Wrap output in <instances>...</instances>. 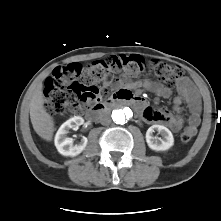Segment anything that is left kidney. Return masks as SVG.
<instances>
[{
  "mask_svg": "<svg viewBox=\"0 0 221 221\" xmlns=\"http://www.w3.org/2000/svg\"><path fill=\"white\" fill-rule=\"evenodd\" d=\"M158 131L163 136V139L157 140L153 133ZM146 142L148 146L155 151L168 150L174 144V138L171 131L163 125H152L146 132Z\"/></svg>",
  "mask_w": 221,
  "mask_h": 221,
  "instance_id": "1",
  "label": "left kidney"
}]
</instances>
